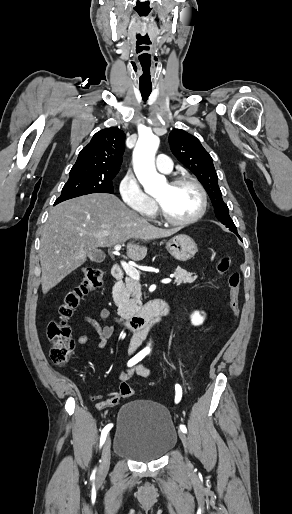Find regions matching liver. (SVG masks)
Returning a JSON list of instances; mask_svg holds the SVG:
<instances>
[{
    "label": "liver",
    "mask_w": 292,
    "mask_h": 514,
    "mask_svg": "<svg viewBox=\"0 0 292 514\" xmlns=\"http://www.w3.org/2000/svg\"><path fill=\"white\" fill-rule=\"evenodd\" d=\"M179 228L162 230L126 208L113 194H88L58 204L41 230L40 264L43 294L80 268L97 248H111L127 240L168 238ZM147 248L128 244L127 256L143 260Z\"/></svg>",
    "instance_id": "obj_1"
}]
</instances>
